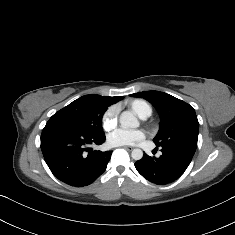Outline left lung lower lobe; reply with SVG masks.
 <instances>
[{
  "label": "left lung lower lobe",
  "instance_id": "0a47b994",
  "mask_svg": "<svg viewBox=\"0 0 235 235\" xmlns=\"http://www.w3.org/2000/svg\"><path fill=\"white\" fill-rule=\"evenodd\" d=\"M158 158L144 154L135 163L137 171L150 182L166 184L179 178L189 166L195 151L177 145L161 146Z\"/></svg>",
  "mask_w": 235,
  "mask_h": 235
}]
</instances>
